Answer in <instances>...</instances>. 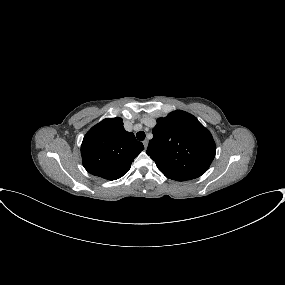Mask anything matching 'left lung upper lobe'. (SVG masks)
Listing matches in <instances>:
<instances>
[{"mask_svg": "<svg viewBox=\"0 0 285 285\" xmlns=\"http://www.w3.org/2000/svg\"><path fill=\"white\" fill-rule=\"evenodd\" d=\"M146 153L169 179L186 181L200 177L215 157L211 133L198 119L176 110L157 120Z\"/></svg>", "mask_w": 285, "mask_h": 285, "instance_id": "obj_1", "label": "left lung upper lobe"}]
</instances>
